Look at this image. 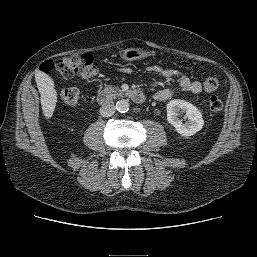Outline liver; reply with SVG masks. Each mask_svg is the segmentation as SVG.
Instances as JSON below:
<instances>
[{
	"label": "liver",
	"mask_w": 257,
	"mask_h": 257,
	"mask_svg": "<svg viewBox=\"0 0 257 257\" xmlns=\"http://www.w3.org/2000/svg\"><path fill=\"white\" fill-rule=\"evenodd\" d=\"M35 79L41 96L43 114L46 118H51L57 104L54 81L49 75L41 71L35 74Z\"/></svg>",
	"instance_id": "1"
}]
</instances>
